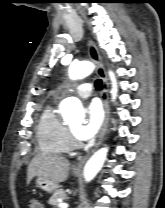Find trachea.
I'll return each instance as SVG.
<instances>
[{"label": "trachea", "mask_w": 165, "mask_h": 208, "mask_svg": "<svg viewBox=\"0 0 165 208\" xmlns=\"http://www.w3.org/2000/svg\"><path fill=\"white\" fill-rule=\"evenodd\" d=\"M95 87L97 90H101L102 89V81L100 79H97L95 81Z\"/></svg>", "instance_id": "trachea-1"}]
</instances>
